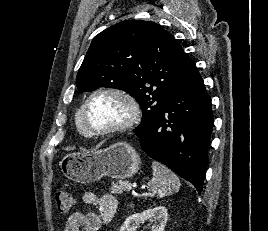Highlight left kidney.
Returning <instances> with one entry per match:
<instances>
[{"label":"left kidney","instance_id":"5707ae66","mask_svg":"<svg viewBox=\"0 0 268 231\" xmlns=\"http://www.w3.org/2000/svg\"><path fill=\"white\" fill-rule=\"evenodd\" d=\"M167 219V209L164 206H157L129 216L119 231H136L137 226L147 220L154 222L151 231H164Z\"/></svg>","mask_w":268,"mask_h":231}]
</instances>
